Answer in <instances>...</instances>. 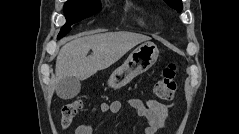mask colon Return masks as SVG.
Listing matches in <instances>:
<instances>
[{"label":"colon","instance_id":"5ec220e1","mask_svg":"<svg viewBox=\"0 0 239 134\" xmlns=\"http://www.w3.org/2000/svg\"><path fill=\"white\" fill-rule=\"evenodd\" d=\"M155 94L164 100H170L177 90V67L175 64L166 66L160 78L155 84ZM83 103L80 99H73L63 106L61 111V122L63 127H68L76 117Z\"/></svg>","mask_w":239,"mask_h":134}]
</instances>
